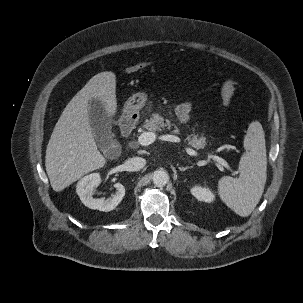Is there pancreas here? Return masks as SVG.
I'll list each match as a JSON object with an SVG mask.
<instances>
[{"instance_id":"pancreas-1","label":"pancreas","mask_w":303,"mask_h":303,"mask_svg":"<svg viewBox=\"0 0 303 303\" xmlns=\"http://www.w3.org/2000/svg\"><path fill=\"white\" fill-rule=\"evenodd\" d=\"M143 127L151 132L162 131L165 129L170 130L173 127L174 130L172 132L179 133V129L175 124L171 123L169 119H164L157 113L152 114V117L145 121ZM187 141L189 145L196 149L204 148L206 145V138L203 136L199 137L198 135L191 134L187 136Z\"/></svg>"}]
</instances>
